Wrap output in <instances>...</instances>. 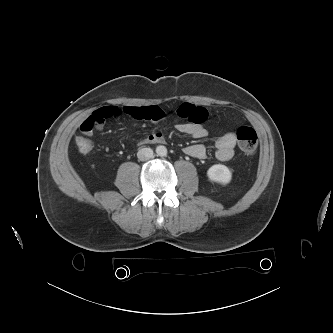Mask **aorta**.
Here are the masks:
<instances>
[{
    "mask_svg": "<svg viewBox=\"0 0 333 333\" xmlns=\"http://www.w3.org/2000/svg\"><path fill=\"white\" fill-rule=\"evenodd\" d=\"M156 153H157L158 156H161V157L166 156L167 155V148L165 146H162V145L157 146Z\"/></svg>",
    "mask_w": 333,
    "mask_h": 333,
    "instance_id": "1",
    "label": "aorta"
}]
</instances>
